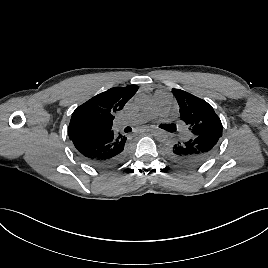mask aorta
<instances>
[{
    "label": "aorta",
    "instance_id": "obj_1",
    "mask_svg": "<svg viewBox=\"0 0 268 268\" xmlns=\"http://www.w3.org/2000/svg\"><path fill=\"white\" fill-rule=\"evenodd\" d=\"M149 99L150 98L147 95L140 94L136 99V105L140 108H144L149 103ZM153 138L156 142L161 143L165 140L166 135L163 131L158 130L154 133Z\"/></svg>",
    "mask_w": 268,
    "mask_h": 268
}]
</instances>
